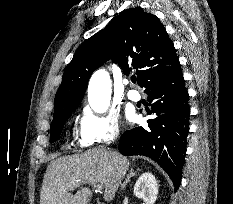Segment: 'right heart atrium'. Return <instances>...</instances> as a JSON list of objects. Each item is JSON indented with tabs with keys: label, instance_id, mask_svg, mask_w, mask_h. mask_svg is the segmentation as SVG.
<instances>
[{
	"label": "right heart atrium",
	"instance_id": "d8ad5b80",
	"mask_svg": "<svg viewBox=\"0 0 233 204\" xmlns=\"http://www.w3.org/2000/svg\"><path fill=\"white\" fill-rule=\"evenodd\" d=\"M119 135L120 123L115 112L97 113L89 108L83 110L77 134L79 146L88 148L110 143Z\"/></svg>",
	"mask_w": 233,
	"mask_h": 204
}]
</instances>
